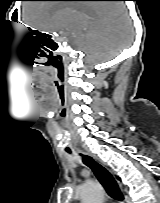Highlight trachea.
<instances>
[{"label": "trachea", "mask_w": 160, "mask_h": 203, "mask_svg": "<svg viewBox=\"0 0 160 203\" xmlns=\"http://www.w3.org/2000/svg\"><path fill=\"white\" fill-rule=\"evenodd\" d=\"M67 152L71 153L70 150H67ZM83 163L93 171L109 196L118 201H122L124 199L117 182L106 168H104L89 156L83 157Z\"/></svg>", "instance_id": "1"}]
</instances>
